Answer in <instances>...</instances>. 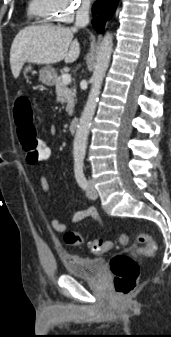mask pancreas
Instances as JSON below:
<instances>
[{
	"mask_svg": "<svg viewBox=\"0 0 171 337\" xmlns=\"http://www.w3.org/2000/svg\"><path fill=\"white\" fill-rule=\"evenodd\" d=\"M64 74L59 76L56 80V95L57 100L60 103H67V112L71 116L73 114L74 107V97H75V89L69 88L66 84L62 82V77Z\"/></svg>",
	"mask_w": 171,
	"mask_h": 337,
	"instance_id": "obj_1",
	"label": "pancreas"
}]
</instances>
